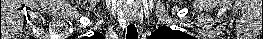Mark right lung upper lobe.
<instances>
[{"mask_svg": "<svg viewBox=\"0 0 263 39\" xmlns=\"http://www.w3.org/2000/svg\"><path fill=\"white\" fill-rule=\"evenodd\" d=\"M96 35H100V33H96V34L93 36V38H96Z\"/></svg>", "mask_w": 263, "mask_h": 39, "instance_id": "cb5924a9", "label": "right lung upper lobe"}]
</instances>
